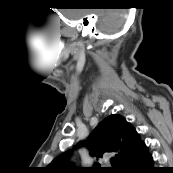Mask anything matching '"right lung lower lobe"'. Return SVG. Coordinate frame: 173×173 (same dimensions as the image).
<instances>
[{
	"mask_svg": "<svg viewBox=\"0 0 173 173\" xmlns=\"http://www.w3.org/2000/svg\"><path fill=\"white\" fill-rule=\"evenodd\" d=\"M146 146L123 161L115 173H159Z\"/></svg>",
	"mask_w": 173,
	"mask_h": 173,
	"instance_id": "98d812e1",
	"label": "right lung lower lobe"
}]
</instances>
